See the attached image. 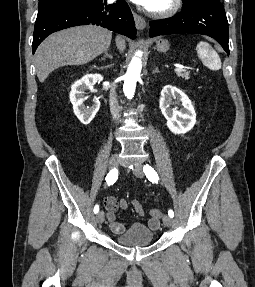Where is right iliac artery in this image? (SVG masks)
Wrapping results in <instances>:
<instances>
[{
	"instance_id": "obj_1",
	"label": "right iliac artery",
	"mask_w": 255,
	"mask_h": 287,
	"mask_svg": "<svg viewBox=\"0 0 255 287\" xmlns=\"http://www.w3.org/2000/svg\"><path fill=\"white\" fill-rule=\"evenodd\" d=\"M117 178H118V170L116 168H114L106 176L107 185L110 186V185L114 184L116 182ZM98 211H99V206L96 205L94 207V213H98Z\"/></svg>"
}]
</instances>
